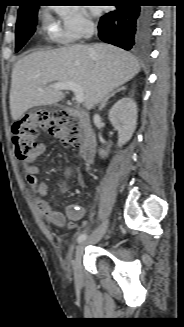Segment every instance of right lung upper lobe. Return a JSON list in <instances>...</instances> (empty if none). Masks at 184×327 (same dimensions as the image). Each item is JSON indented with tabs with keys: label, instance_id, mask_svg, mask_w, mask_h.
<instances>
[{
	"label": "right lung upper lobe",
	"instance_id": "right-lung-upper-lobe-1",
	"mask_svg": "<svg viewBox=\"0 0 184 327\" xmlns=\"http://www.w3.org/2000/svg\"><path fill=\"white\" fill-rule=\"evenodd\" d=\"M21 3H22V5L20 6L19 11L26 10L28 8L36 6L34 4V3H36V0H21Z\"/></svg>",
	"mask_w": 184,
	"mask_h": 327
}]
</instances>
